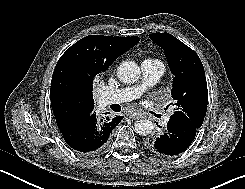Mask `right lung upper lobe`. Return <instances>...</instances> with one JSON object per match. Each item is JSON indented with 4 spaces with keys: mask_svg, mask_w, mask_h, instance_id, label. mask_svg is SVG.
Masks as SVG:
<instances>
[{
    "mask_svg": "<svg viewBox=\"0 0 245 189\" xmlns=\"http://www.w3.org/2000/svg\"><path fill=\"white\" fill-rule=\"evenodd\" d=\"M139 37L87 36L59 59L51 81V106L58 128L87 117L94 109L93 81Z\"/></svg>",
    "mask_w": 245,
    "mask_h": 189,
    "instance_id": "1",
    "label": "right lung upper lobe"
}]
</instances>
